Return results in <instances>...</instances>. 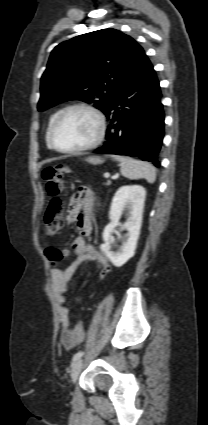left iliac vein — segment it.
<instances>
[{
    "label": "left iliac vein",
    "mask_w": 208,
    "mask_h": 425,
    "mask_svg": "<svg viewBox=\"0 0 208 425\" xmlns=\"http://www.w3.org/2000/svg\"><path fill=\"white\" fill-rule=\"evenodd\" d=\"M83 366V360L81 358H79L78 360H76L71 368V379L73 382H75L81 372Z\"/></svg>",
    "instance_id": "left-iliac-vein-1"
}]
</instances>
